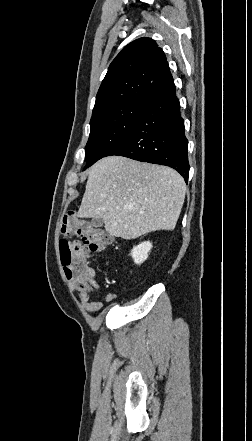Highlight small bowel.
I'll use <instances>...</instances> for the list:
<instances>
[{
  "mask_svg": "<svg viewBox=\"0 0 252 441\" xmlns=\"http://www.w3.org/2000/svg\"><path fill=\"white\" fill-rule=\"evenodd\" d=\"M90 252H86L83 258H89ZM73 288L77 291L80 301L84 308L89 313H96L101 310L103 304L100 300L93 298V294L96 292H101L102 289L98 282L96 281V271L95 269L85 264V276L80 282H72ZM105 299L108 302H112L115 299L113 293H106Z\"/></svg>",
  "mask_w": 252,
  "mask_h": 441,
  "instance_id": "obj_1",
  "label": "small bowel"
}]
</instances>
